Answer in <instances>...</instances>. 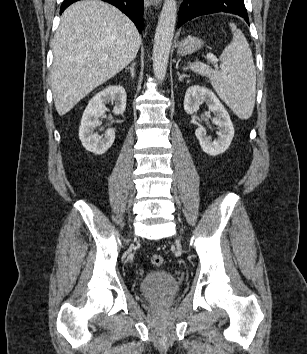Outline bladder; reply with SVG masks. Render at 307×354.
<instances>
[{"mask_svg":"<svg viewBox=\"0 0 307 354\" xmlns=\"http://www.w3.org/2000/svg\"><path fill=\"white\" fill-rule=\"evenodd\" d=\"M180 288L176 278L166 270L147 273L139 283L141 294L151 301H169Z\"/></svg>","mask_w":307,"mask_h":354,"instance_id":"31cf9c89","label":"bladder"}]
</instances>
